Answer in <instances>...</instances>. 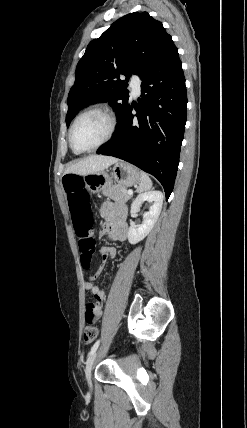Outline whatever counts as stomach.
<instances>
[{"label":"stomach","mask_w":247,"mask_h":428,"mask_svg":"<svg viewBox=\"0 0 247 428\" xmlns=\"http://www.w3.org/2000/svg\"><path fill=\"white\" fill-rule=\"evenodd\" d=\"M84 183L92 194H99L112 185L113 180L122 186H132L140 180L139 170L124 161L114 164L111 172L108 169L83 176Z\"/></svg>","instance_id":"stomach-1"}]
</instances>
